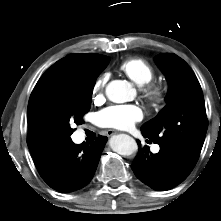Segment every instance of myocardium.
I'll list each match as a JSON object with an SVG mask.
<instances>
[{
  "label": "myocardium",
  "instance_id": "1",
  "mask_svg": "<svg viewBox=\"0 0 221 221\" xmlns=\"http://www.w3.org/2000/svg\"><path fill=\"white\" fill-rule=\"evenodd\" d=\"M143 93L151 106L159 108L165 100V93L161 86L149 83L144 86Z\"/></svg>",
  "mask_w": 221,
  "mask_h": 221
}]
</instances>
